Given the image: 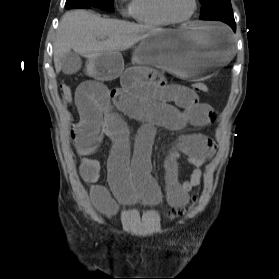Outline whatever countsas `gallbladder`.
Masks as SVG:
<instances>
[{"label": "gallbladder", "instance_id": "gallbladder-1", "mask_svg": "<svg viewBox=\"0 0 279 279\" xmlns=\"http://www.w3.org/2000/svg\"><path fill=\"white\" fill-rule=\"evenodd\" d=\"M82 67V60L78 53L70 51L61 58V69L66 75L77 73Z\"/></svg>", "mask_w": 279, "mask_h": 279}]
</instances>
